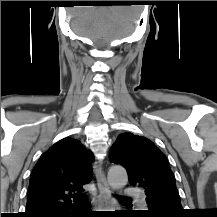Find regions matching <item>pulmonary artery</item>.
I'll return each mask as SVG.
<instances>
[{"instance_id": "e3ab8cb5", "label": "pulmonary artery", "mask_w": 217, "mask_h": 217, "mask_svg": "<svg viewBox=\"0 0 217 217\" xmlns=\"http://www.w3.org/2000/svg\"><path fill=\"white\" fill-rule=\"evenodd\" d=\"M123 192H124V196H126V197L140 198L144 202L142 193L139 190L135 189V188L124 187Z\"/></svg>"}]
</instances>
